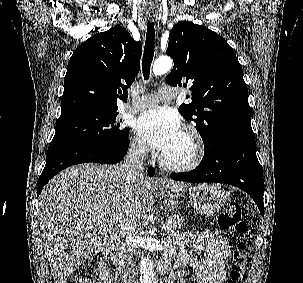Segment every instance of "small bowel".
<instances>
[{"label":"small bowel","instance_id":"c3829d8e","mask_svg":"<svg viewBox=\"0 0 303 283\" xmlns=\"http://www.w3.org/2000/svg\"><path fill=\"white\" fill-rule=\"evenodd\" d=\"M181 250L175 262V270L171 277L175 283H181L177 271L191 266L196 271L199 283H223L226 277V268L229 263L230 249L226 239L217 233L200 232L190 229L183 232L178 238L168 242L164 259L171 261L175 257V247ZM197 253L207 254V259L200 258ZM98 283H112L110 268L106 258H101L98 265Z\"/></svg>","mask_w":303,"mask_h":283}]
</instances>
